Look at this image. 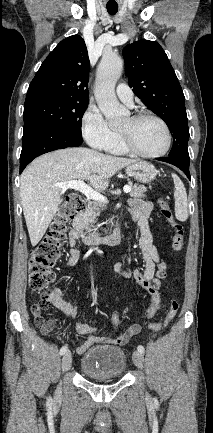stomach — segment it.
Segmentation results:
<instances>
[{"label": "stomach", "instance_id": "1", "mask_svg": "<svg viewBox=\"0 0 213 433\" xmlns=\"http://www.w3.org/2000/svg\"><path fill=\"white\" fill-rule=\"evenodd\" d=\"M128 176L133 177L139 182L148 183L155 179L157 170L146 161H137L126 167Z\"/></svg>", "mask_w": 213, "mask_h": 433}]
</instances>
